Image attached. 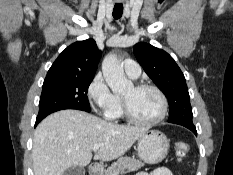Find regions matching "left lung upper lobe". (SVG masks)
<instances>
[{"label": "left lung upper lobe", "mask_w": 233, "mask_h": 175, "mask_svg": "<svg viewBox=\"0 0 233 175\" xmlns=\"http://www.w3.org/2000/svg\"><path fill=\"white\" fill-rule=\"evenodd\" d=\"M134 54L146 74L167 97L168 122L193 125L185 77L175 60L164 50L143 42L134 46Z\"/></svg>", "instance_id": "left-lung-upper-lobe-1"}]
</instances>
